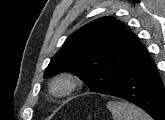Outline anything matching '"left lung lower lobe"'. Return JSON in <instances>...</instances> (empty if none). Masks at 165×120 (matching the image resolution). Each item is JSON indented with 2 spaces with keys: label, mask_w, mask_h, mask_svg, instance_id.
Instances as JSON below:
<instances>
[{
  "label": "left lung lower lobe",
  "mask_w": 165,
  "mask_h": 120,
  "mask_svg": "<svg viewBox=\"0 0 165 120\" xmlns=\"http://www.w3.org/2000/svg\"><path fill=\"white\" fill-rule=\"evenodd\" d=\"M107 95L139 106L154 120H165L164 85L154 61L141 44L134 52L121 84Z\"/></svg>",
  "instance_id": "obj_1"
}]
</instances>
